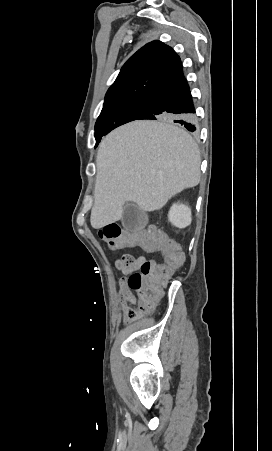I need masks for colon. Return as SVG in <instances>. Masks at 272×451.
<instances>
[{"label": "colon", "instance_id": "1", "mask_svg": "<svg viewBox=\"0 0 272 451\" xmlns=\"http://www.w3.org/2000/svg\"><path fill=\"white\" fill-rule=\"evenodd\" d=\"M126 230L116 222L103 225L98 231L100 240L108 243L109 248L117 250L147 249L148 256H164V264L159 266L155 259L150 261L142 257H135L131 253H122L121 259L114 261L115 266L129 269L127 281L128 289H137L136 303H145L144 307L150 310L152 303H157L158 297L165 283H169L174 267H178L179 260L186 258L182 247L172 244L168 235H162L161 230ZM129 321L136 318L133 309L126 311Z\"/></svg>", "mask_w": 272, "mask_h": 451}]
</instances>
